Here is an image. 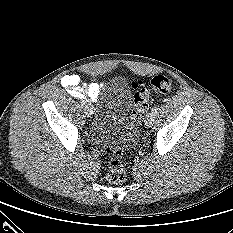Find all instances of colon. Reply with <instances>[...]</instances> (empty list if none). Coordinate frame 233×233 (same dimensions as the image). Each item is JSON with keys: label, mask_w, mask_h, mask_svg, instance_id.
<instances>
[{"label": "colon", "mask_w": 233, "mask_h": 233, "mask_svg": "<svg viewBox=\"0 0 233 233\" xmlns=\"http://www.w3.org/2000/svg\"><path fill=\"white\" fill-rule=\"evenodd\" d=\"M172 89V81L164 75H157L151 79L149 88L138 89L133 96L132 118L140 122L143 114L148 109L152 93L167 94ZM106 153V177L114 184L124 183L128 176L127 158L122 150L105 149Z\"/></svg>", "instance_id": "1"}]
</instances>
